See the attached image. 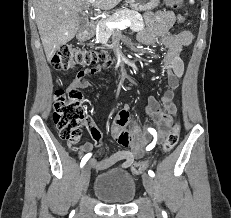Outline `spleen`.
<instances>
[{"mask_svg":"<svg viewBox=\"0 0 231 218\" xmlns=\"http://www.w3.org/2000/svg\"><path fill=\"white\" fill-rule=\"evenodd\" d=\"M189 1H190V3H191V4H193V3H194V0H189Z\"/></svg>","mask_w":231,"mask_h":218,"instance_id":"obj_1","label":"spleen"}]
</instances>
